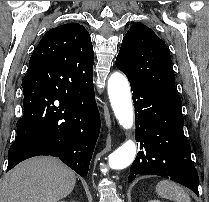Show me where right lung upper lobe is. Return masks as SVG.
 I'll use <instances>...</instances> for the list:
<instances>
[{"mask_svg":"<svg viewBox=\"0 0 209 202\" xmlns=\"http://www.w3.org/2000/svg\"><path fill=\"white\" fill-rule=\"evenodd\" d=\"M93 62L90 34L78 23H67L45 33L29 68L48 71L64 87L83 88L93 83Z\"/></svg>","mask_w":209,"mask_h":202,"instance_id":"cb5924a9","label":"right lung upper lobe"}]
</instances>
